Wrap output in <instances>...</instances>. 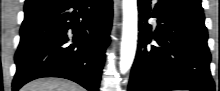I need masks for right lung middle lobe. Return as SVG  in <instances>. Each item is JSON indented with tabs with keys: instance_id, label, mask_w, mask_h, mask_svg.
<instances>
[{
	"instance_id": "dd1d6c3e",
	"label": "right lung middle lobe",
	"mask_w": 220,
	"mask_h": 91,
	"mask_svg": "<svg viewBox=\"0 0 220 91\" xmlns=\"http://www.w3.org/2000/svg\"><path fill=\"white\" fill-rule=\"evenodd\" d=\"M38 1L36 0H27L25 3V7L27 8V6L29 7H33V6H37L40 5L39 3H37Z\"/></svg>"
}]
</instances>
